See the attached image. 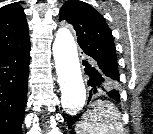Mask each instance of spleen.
Masks as SVG:
<instances>
[{
	"mask_svg": "<svg viewBox=\"0 0 153 134\" xmlns=\"http://www.w3.org/2000/svg\"><path fill=\"white\" fill-rule=\"evenodd\" d=\"M76 134H123L121 113L112 103L96 101L76 124Z\"/></svg>",
	"mask_w": 153,
	"mask_h": 134,
	"instance_id": "3e777b00",
	"label": "spleen"
}]
</instances>
